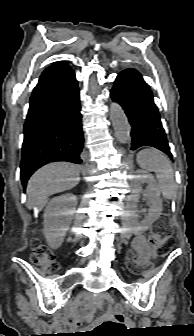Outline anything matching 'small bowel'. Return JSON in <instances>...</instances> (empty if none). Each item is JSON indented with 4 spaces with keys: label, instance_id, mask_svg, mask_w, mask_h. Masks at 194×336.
<instances>
[{
    "label": "small bowel",
    "instance_id": "1",
    "mask_svg": "<svg viewBox=\"0 0 194 336\" xmlns=\"http://www.w3.org/2000/svg\"><path fill=\"white\" fill-rule=\"evenodd\" d=\"M136 247L137 249H139L142 252V259L143 261H145L149 254H148V249H147V245L145 242V239L143 236H139L136 239ZM100 302H106L109 301L108 297H102L98 299ZM68 321L71 325L76 326V327H80L83 323V317L79 316V315H72L68 318Z\"/></svg>",
    "mask_w": 194,
    "mask_h": 336
}]
</instances>
